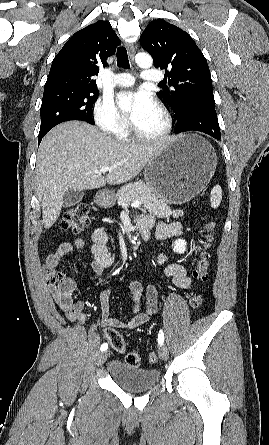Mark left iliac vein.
<instances>
[{
    "mask_svg": "<svg viewBox=\"0 0 269 445\" xmlns=\"http://www.w3.org/2000/svg\"><path fill=\"white\" fill-rule=\"evenodd\" d=\"M168 355H169V353H168L167 347L161 345L160 348H159V356H160V358L162 360H167L168 359Z\"/></svg>",
    "mask_w": 269,
    "mask_h": 445,
    "instance_id": "obj_1",
    "label": "left iliac vein"
}]
</instances>
